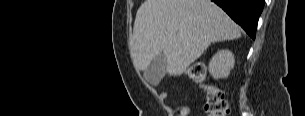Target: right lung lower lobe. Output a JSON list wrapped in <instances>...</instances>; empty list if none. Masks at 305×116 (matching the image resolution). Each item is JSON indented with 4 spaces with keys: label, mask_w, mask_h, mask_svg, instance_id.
Listing matches in <instances>:
<instances>
[{
    "label": "right lung lower lobe",
    "mask_w": 305,
    "mask_h": 116,
    "mask_svg": "<svg viewBox=\"0 0 305 116\" xmlns=\"http://www.w3.org/2000/svg\"><path fill=\"white\" fill-rule=\"evenodd\" d=\"M219 5L246 33L255 39L264 0H212Z\"/></svg>",
    "instance_id": "1"
}]
</instances>
